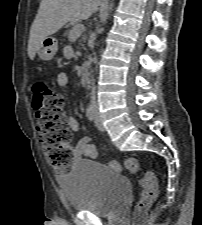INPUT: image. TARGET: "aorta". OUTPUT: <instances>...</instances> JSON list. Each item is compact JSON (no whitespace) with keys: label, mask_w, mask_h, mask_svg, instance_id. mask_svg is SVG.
Here are the masks:
<instances>
[{"label":"aorta","mask_w":202,"mask_h":225,"mask_svg":"<svg viewBox=\"0 0 202 225\" xmlns=\"http://www.w3.org/2000/svg\"><path fill=\"white\" fill-rule=\"evenodd\" d=\"M112 9H113V2H111V3L109 4V7H108V13H107L106 17H108V15H109V13L112 11Z\"/></svg>","instance_id":"762f6f07"}]
</instances>
